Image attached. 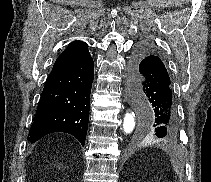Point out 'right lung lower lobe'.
<instances>
[{
    "instance_id": "obj_1",
    "label": "right lung lower lobe",
    "mask_w": 211,
    "mask_h": 182,
    "mask_svg": "<svg viewBox=\"0 0 211 182\" xmlns=\"http://www.w3.org/2000/svg\"><path fill=\"white\" fill-rule=\"evenodd\" d=\"M94 62L87 44L74 41L57 58L44 86L28 141L65 132L84 146L89 122Z\"/></svg>"
}]
</instances>
